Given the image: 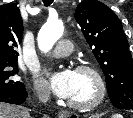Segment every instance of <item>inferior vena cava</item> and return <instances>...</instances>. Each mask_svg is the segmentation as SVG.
I'll use <instances>...</instances> for the list:
<instances>
[{
  "label": "inferior vena cava",
  "mask_w": 133,
  "mask_h": 118,
  "mask_svg": "<svg viewBox=\"0 0 133 118\" xmlns=\"http://www.w3.org/2000/svg\"><path fill=\"white\" fill-rule=\"evenodd\" d=\"M50 92L49 90L40 89L38 91L39 100L43 103H46L49 100Z\"/></svg>",
  "instance_id": "inferior-vena-cava-1"
}]
</instances>
